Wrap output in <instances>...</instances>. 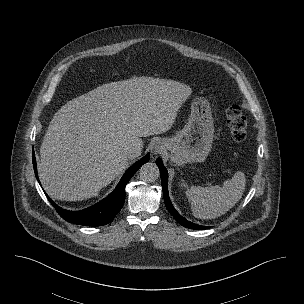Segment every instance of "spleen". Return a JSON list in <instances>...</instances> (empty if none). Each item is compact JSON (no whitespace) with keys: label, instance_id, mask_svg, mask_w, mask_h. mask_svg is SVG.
Segmentation results:
<instances>
[{"label":"spleen","instance_id":"1","mask_svg":"<svg viewBox=\"0 0 304 304\" xmlns=\"http://www.w3.org/2000/svg\"><path fill=\"white\" fill-rule=\"evenodd\" d=\"M245 184L244 173L238 171L222 186H192L186 196L191 202L193 215L200 219H214L225 214L242 198Z\"/></svg>","mask_w":304,"mask_h":304}]
</instances>
